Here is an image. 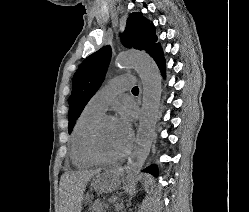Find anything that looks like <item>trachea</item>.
Masks as SVG:
<instances>
[{
    "instance_id": "3493384b",
    "label": "trachea",
    "mask_w": 249,
    "mask_h": 212,
    "mask_svg": "<svg viewBox=\"0 0 249 212\" xmlns=\"http://www.w3.org/2000/svg\"><path fill=\"white\" fill-rule=\"evenodd\" d=\"M132 90H139V89H138V87H133V89H132Z\"/></svg>"
}]
</instances>
